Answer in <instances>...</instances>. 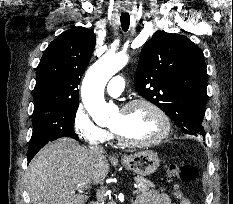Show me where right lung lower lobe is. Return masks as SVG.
Masks as SVG:
<instances>
[{
	"label": "right lung lower lobe",
	"instance_id": "1",
	"mask_svg": "<svg viewBox=\"0 0 233 204\" xmlns=\"http://www.w3.org/2000/svg\"><path fill=\"white\" fill-rule=\"evenodd\" d=\"M42 148V147H41ZM41 148H37V149H31L29 148L28 150V162L31 161V159L35 156V154L41 149Z\"/></svg>",
	"mask_w": 233,
	"mask_h": 204
}]
</instances>
